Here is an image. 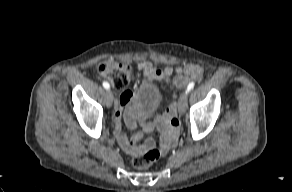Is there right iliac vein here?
Returning a JSON list of instances; mask_svg holds the SVG:
<instances>
[{
  "label": "right iliac vein",
  "instance_id": "obj_1",
  "mask_svg": "<svg viewBox=\"0 0 292 192\" xmlns=\"http://www.w3.org/2000/svg\"><path fill=\"white\" fill-rule=\"evenodd\" d=\"M113 93L112 91H108L106 93V97H105V102H106V106L107 107H111L112 103H113Z\"/></svg>",
  "mask_w": 292,
  "mask_h": 192
}]
</instances>
